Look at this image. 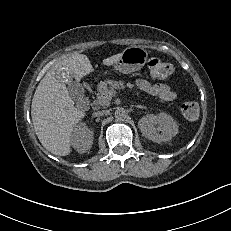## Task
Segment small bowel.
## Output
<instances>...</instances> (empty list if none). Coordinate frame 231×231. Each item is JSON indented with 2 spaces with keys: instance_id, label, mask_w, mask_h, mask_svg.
<instances>
[{
  "instance_id": "1",
  "label": "small bowel",
  "mask_w": 231,
  "mask_h": 231,
  "mask_svg": "<svg viewBox=\"0 0 231 231\" xmlns=\"http://www.w3.org/2000/svg\"><path fill=\"white\" fill-rule=\"evenodd\" d=\"M136 85L141 91L156 96L164 101H173L177 97L176 92L165 83L153 84L146 79H138Z\"/></svg>"
}]
</instances>
